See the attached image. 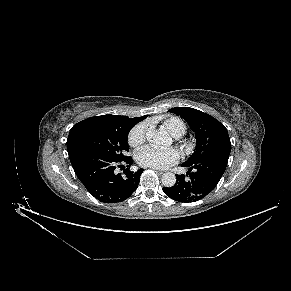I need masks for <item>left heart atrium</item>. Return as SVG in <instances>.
<instances>
[{
	"label": "left heart atrium",
	"instance_id": "1",
	"mask_svg": "<svg viewBox=\"0 0 291 291\" xmlns=\"http://www.w3.org/2000/svg\"><path fill=\"white\" fill-rule=\"evenodd\" d=\"M179 159V153L174 148H158L145 146L136 155L137 162L144 167L164 169Z\"/></svg>",
	"mask_w": 291,
	"mask_h": 291
}]
</instances>
